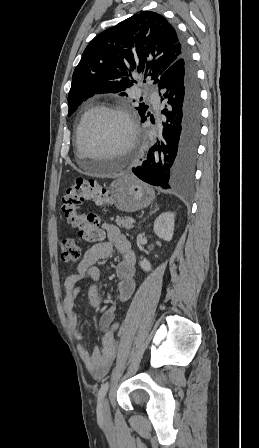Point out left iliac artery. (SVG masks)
I'll return each mask as SVG.
<instances>
[{"label":"left iliac artery","mask_w":259,"mask_h":448,"mask_svg":"<svg viewBox=\"0 0 259 448\" xmlns=\"http://www.w3.org/2000/svg\"><path fill=\"white\" fill-rule=\"evenodd\" d=\"M108 388H109V383H104L101 385V388L98 392V407H101L102 400L105 397Z\"/></svg>","instance_id":"1"}]
</instances>
